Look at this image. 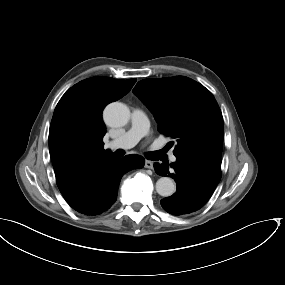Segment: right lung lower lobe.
I'll return each instance as SVG.
<instances>
[{"label":"right lung lower lobe","instance_id":"1","mask_svg":"<svg viewBox=\"0 0 285 285\" xmlns=\"http://www.w3.org/2000/svg\"><path fill=\"white\" fill-rule=\"evenodd\" d=\"M144 163L145 159L139 155H127L121 159L111 157L95 164L61 193L78 213L99 215L116 201L123 174L143 168Z\"/></svg>","mask_w":285,"mask_h":285}]
</instances>
